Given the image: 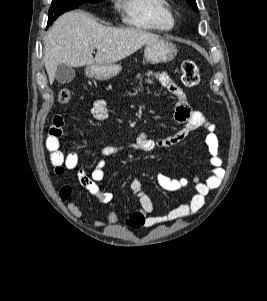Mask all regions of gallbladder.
<instances>
[{"instance_id": "bac80fb5", "label": "gallbladder", "mask_w": 267, "mask_h": 301, "mask_svg": "<svg viewBox=\"0 0 267 301\" xmlns=\"http://www.w3.org/2000/svg\"><path fill=\"white\" fill-rule=\"evenodd\" d=\"M75 77V70L66 64H60L56 69V80L60 84H67Z\"/></svg>"}]
</instances>
